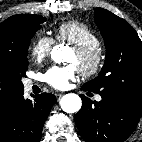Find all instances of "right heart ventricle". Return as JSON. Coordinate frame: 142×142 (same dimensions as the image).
<instances>
[{
  "instance_id": "1",
  "label": "right heart ventricle",
  "mask_w": 142,
  "mask_h": 142,
  "mask_svg": "<svg viewBox=\"0 0 142 142\" xmlns=\"http://www.w3.org/2000/svg\"><path fill=\"white\" fill-rule=\"evenodd\" d=\"M54 32L59 41L70 43L74 47H91L101 44L100 38L90 27L76 20L61 23Z\"/></svg>"
}]
</instances>
